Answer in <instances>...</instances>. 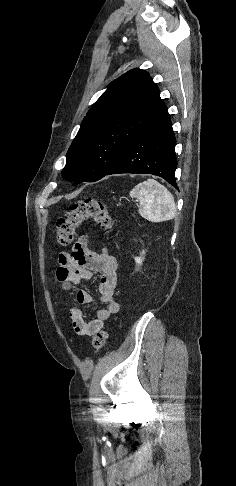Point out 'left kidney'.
I'll use <instances>...</instances> for the list:
<instances>
[{
    "mask_svg": "<svg viewBox=\"0 0 236 486\" xmlns=\"http://www.w3.org/2000/svg\"><path fill=\"white\" fill-rule=\"evenodd\" d=\"M144 254H145V251H142L140 257H135L136 264L141 265L143 263Z\"/></svg>",
    "mask_w": 236,
    "mask_h": 486,
    "instance_id": "obj_1",
    "label": "left kidney"
}]
</instances>
